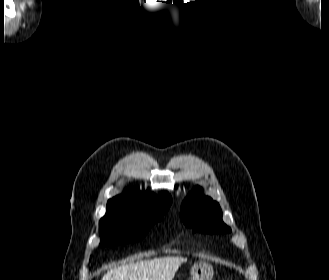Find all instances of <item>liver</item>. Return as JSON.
<instances>
[{"instance_id": "liver-1", "label": "liver", "mask_w": 329, "mask_h": 280, "mask_svg": "<svg viewBox=\"0 0 329 280\" xmlns=\"http://www.w3.org/2000/svg\"><path fill=\"white\" fill-rule=\"evenodd\" d=\"M187 258L167 256L114 266L101 280H172Z\"/></svg>"}]
</instances>
